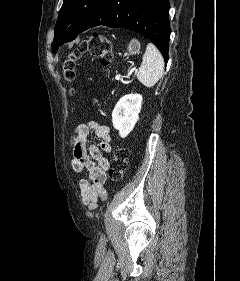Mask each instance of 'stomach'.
<instances>
[{
  "label": "stomach",
  "instance_id": "obj_1",
  "mask_svg": "<svg viewBox=\"0 0 240 281\" xmlns=\"http://www.w3.org/2000/svg\"><path fill=\"white\" fill-rule=\"evenodd\" d=\"M140 47L141 45L139 41H137L136 39H132L128 45V49H127L128 51L126 55L130 56L139 53Z\"/></svg>",
  "mask_w": 240,
  "mask_h": 281
}]
</instances>
